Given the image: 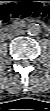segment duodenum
<instances>
[{"label": "duodenum", "mask_w": 50, "mask_h": 111, "mask_svg": "<svg viewBox=\"0 0 50 111\" xmlns=\"http://www.w3.org/2000/svg\"><path fill=\"white\" fill-rule=\"evenodd\" d=\"M21 27V25H17V26H11V27H6L1 31V37L3 39L7 38L8 36H10L13 32L14 28H18Z\"/></svg>", "instance_id": "1"}]
</instances>
